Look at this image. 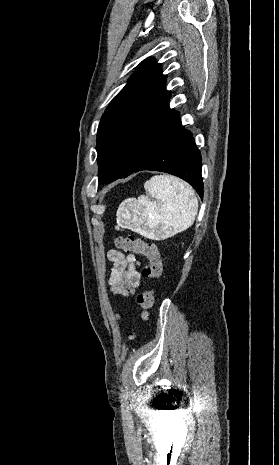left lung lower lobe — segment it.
Instances as JSON below:
<instances>
[{
	"label": "left lung lower lobe",
	"instance_id": "1",
	"mask_svg": "<svg viewBox=\"0 0 279 465\" xmlns=\"http://www.w3.org/2000/svg\"><path fill=\"white\" fill-rule=\"evenodd\" d=\"M162 171L176 175L191 184L202 198L201 155L190 131L181 121L172 132L132 171ZM131 173V174H132Z\"/></svg>",
	"mask_w": 279,
	"mask_h": 465
}]
</instances>
